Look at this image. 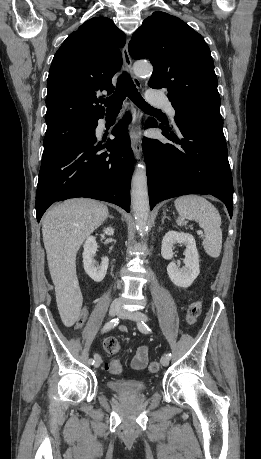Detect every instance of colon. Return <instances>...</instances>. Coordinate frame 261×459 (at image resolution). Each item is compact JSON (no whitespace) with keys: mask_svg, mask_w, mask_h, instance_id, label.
I'll return each instance as SVG.
<instances>
[{"mask_svg":"<svg viewBox=\"0 0 261 459\" xmlns=\"http://www.w3.org/2000/svg\"><path fill=\"white\" fill-rule=\"evenodd\" d=\"M202 303L200 301H194L189 304L186 313V321L188 324H195L200 315ZM83 320L79 318L78 325H81ZM104 350L111 355H115L120 351L119 341L114 337L107 338L103 343ZM151 373H156L160 369V364L153 361L148 367ZM107 370L113 374H119L122 371V366L118 360H113L107 364Z\"/></svg>","mask_w":261,"mask_h":459,"instance_id":"colon-1","label":"colon"}]
</instances>
